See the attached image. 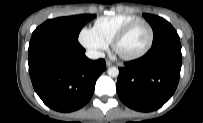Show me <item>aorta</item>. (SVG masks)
Masks as SVG:
<instances>
[{
	"instance_id": "762f6f07",
	"label": "aorta",
	"mask_w": 203,
	"mask_h": 123,
	"mask_svg": "<svg viewBox=\"0 0 203 123\" xmlns=\"http://www.w3.org/2000/svg\"><path fill=\"white\" fill-rule=\"evenodd\" d=\"M108 75L110 77H117L119 75V70L117 67H110L108 69Z\"/></svg>"
}]
</instances>
